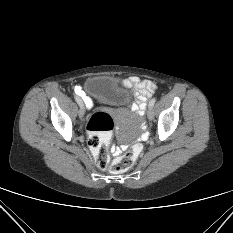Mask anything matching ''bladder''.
Returning <instances> with one entry per match:
<instances>
[{"mask_svg":"<svg viewBox=\"0 0 233 233\" xmlns=\"http://www.w3.org/2000/svg\"><path fill=\"white\" fill-rule=\"evenodd\" d=\"M86 94L96 101L107 105H125L132 101L131 89L108 75H94L85 80Z\"/></svg>","mask_w":233,"mask_h":233,"instance_id":"bladder-1","label":"bladder"}]
</instances>
